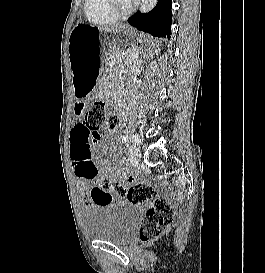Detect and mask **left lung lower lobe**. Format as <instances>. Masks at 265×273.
<instances>
[{
  "instance_id": "obj_1",
  "label": "left lung lower lobe",
  "mask_w": 265,
  "mask_h": 273,
  "mask_svg": "<svg viewBox=\"0 0 265 273\" xmlns=\"http://www.w3.org/2000/svg\"><path fill=\"white\" fill-rule=\"evenodd\" d=\"M172 0H158L149 13H135L128 23L138 30L150 33L155 37L170 39L172 22Z\"/></svg>"
}]
</instances>
